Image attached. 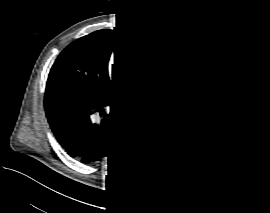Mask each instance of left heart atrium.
<instances>
[{"mask_svg":"<svg viewBox=\"0 0 270 213\" xmlns=\"http://www.w3.org/2000/svg\"><path fill=\"white\" fill-rule=\"evenodd\" d=\"M139 87V86H138ZM138 87L137 88H130L131 90L130 91H137L138 90ZM154 87V88H153ZM156 86H151V89H157V88H155ZM133 89H135V90H133Z\"/></svg>","mask_w":270,"mask_h":213,"instance_id":"obj_1","label":"left heart atrium"}]
</instances>
